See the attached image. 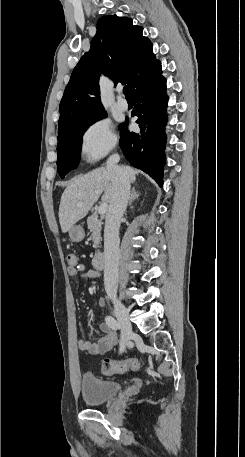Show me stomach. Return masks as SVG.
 <instances>
[{
  "instance_id": "stomach-1",
  "label": "stomach",
  "mask_w": 245,
  "mask_h": 457,
  "mask_svg": "<svg viewBox=\"0 0 245 457\" xmlns=\"http://www.w3.org/2000/svg\"><path fill=\"white\" fill-rule=\"evenodd\" d=\"M69 237L71 241H82L85 237L84 229L81 224H74V226H71V229H69Z\"/></svg>"
}]
</instances>
